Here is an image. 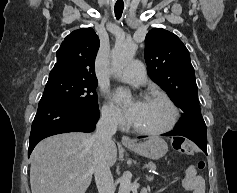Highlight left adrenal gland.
Here are the masks:
<instances>
[{
	"instance_id": "obj_1",
	"label": "left adrenal gland",
	"mask_w": 237,
	"mask_h": 193,
	"mask_svg": "<svg viewBox=\"0 0 237 193\" xmlns=\"http://www.w3.org/2000/svg\"><path fill=\"white\" fill-rule=\"evenodd\" d=\"M151 179H152L151 177H148V176H147V180H151Z\"/></svg>"
}]
</instances>
